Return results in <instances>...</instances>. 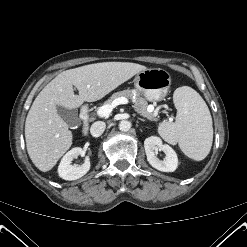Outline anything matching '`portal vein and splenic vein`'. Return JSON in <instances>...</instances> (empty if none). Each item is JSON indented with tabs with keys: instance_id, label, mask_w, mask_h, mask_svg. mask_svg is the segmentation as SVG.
I'll list each match as a JSON object with an SVG mask.
<instances>
[{
	"instance_id": "portal-vein-and-splenic-vein-1",
	"label": "portal vein and splenic vein",
	"mask_w": 247,
	"mask_h": 247,
	"mask_svg": "<svg viewBox=\"0 0 247 247\" xmlns=\"http://www.w3.org/2000/svg\"><path fill=\"white\" fill-rule=\"evenodd\" d=\"M129 100L126 97H119L117 99H115L112 104L110 105H103L101 107L98 108L97 110V115L99 117H108L110 115V113L112 112L113 108H115L116 106L120 105V104H128ZM154 107L151 105L149 108V112H153Z\"/></svg>"
}]
</instances>
